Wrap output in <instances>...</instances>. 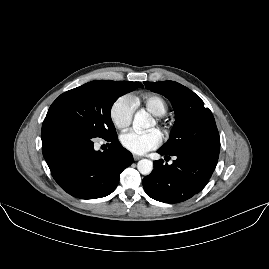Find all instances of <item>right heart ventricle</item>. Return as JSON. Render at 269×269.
<instances>
[{"mask_svg": "<svg viewBox=\"0 0 269 269\" xmlns=\"http://www.w3.org/2000/svg\"><path fill=\"white\" fill-rule=\"evenodd\" d=\"M137 103H141L149 112L157 116L164 115L168 108L166 100L158 95L145 96Z\"/></svg>", "mask_w": 269, "mask_h": 269, "instance_id": "e07e8e85", "label": "right heart ventricle"}]
</instances>
